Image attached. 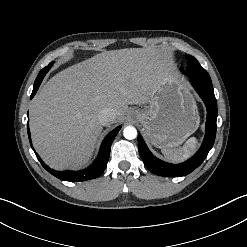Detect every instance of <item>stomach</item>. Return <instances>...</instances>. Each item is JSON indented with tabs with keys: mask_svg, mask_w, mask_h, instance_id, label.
<instances>
[{
	"mask_svg": "<svg viewBox=\"0 0 247 247\" xmlns=\"http://www.w3.org/2000/svg\"><path fill=\"white\" fill-rule=\"evenodd\" d=\"M148 106L133 111L148 140L158 148L181 145L199 126V114L187 82L175 74L162 81Z\"/></svg>",
	"mask_w": 247,
	"mask_h": 247,
	"instance_id": "1",
	"label": "stomach"
}]
</instances>
